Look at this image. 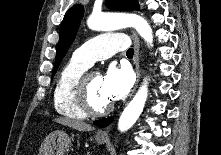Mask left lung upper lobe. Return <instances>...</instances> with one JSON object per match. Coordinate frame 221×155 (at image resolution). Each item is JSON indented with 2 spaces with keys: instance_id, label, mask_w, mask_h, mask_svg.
Instances as JSON below:
<instances>
[{
  "instance_id": "obj_1",
  "label": "left lung upper lobe",
  "mask_w": 221,
  "mask_h": 155,
  "mask_svg": "<svg viewBox=\"0 0 221 155\" xmlns=\"http://www.w3.org/2000/svg\"><path fill=\"white\" fill-rule=\"evenodd\" d=\"M107 7L120 10H138L139 4L137 0H106ZM84 13L82 5H76L70 8L61 23L59 32V42L56 48L55 66L52 76L56 73L59 64L70 48L75 39L80 21Z\"/></svg>"
}]
</instances>
